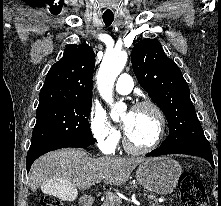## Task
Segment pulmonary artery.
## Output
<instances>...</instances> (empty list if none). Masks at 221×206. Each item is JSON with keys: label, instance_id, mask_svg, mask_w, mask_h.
Here are the masks:
<instances>
[{"label": "pulmonary artery", "instance_id": "obj_1", "mask_svg": "<svg viewBox=\"0 0 221 206\" xmlns=\"http://www.w3.org/2000/svg\"><path fill=\"white\" fill-rule=\"evenodd\" d=\"M133 88V79L129 74L122 73L120 74L115 90L118 94L125 95L131 92Z\"/></svg>", "mask_w": 221, "mask_h": 206}]
</instances>
